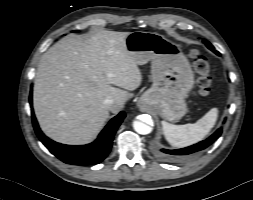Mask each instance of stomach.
Returning <instances> with one entry per match:
<instances>
[{
	"label": "stomach",
	"instance_id": "1",
	"mask_svg": "<svg viewBox=\"0 0 253 200\" xmlns=\"http://www.w3.org/2000/svg\"><path fill=\"white\" fill-rule=\"evenodd\" d=\"M125 44L137 65L151 61L153 84L141 95L139 106L169 121L182 118L194 74L180 47L163 35L142 31L130 33Z\"/></svg>",
	"mask_w": 253,
	"mask_h": 200
}]
</instances>
